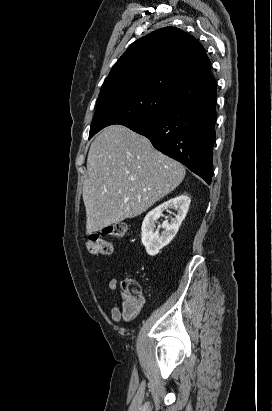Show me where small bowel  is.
I'll use <instances>...</instances> for the list:
<instances>
[{"label": "small bowel", "instance_id": "small-bowel-1", "mask_svg": "<svg viewBox=\"0 0 272 411\" xmlns=\"http://www.w3.org/2000/svg\"><path fill=\"white\" fill-rule=\"evenodd\" d=\"M108 287L112 293H115L118 288V279L117 277H112L108 282ZM111 317L115 323L120 322L122 318V312L118 305H114L111 309Z\"/></svg>", "mask_w": 272, "mask_h": 411}]
</instances>
